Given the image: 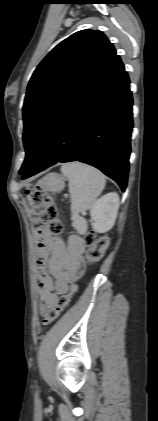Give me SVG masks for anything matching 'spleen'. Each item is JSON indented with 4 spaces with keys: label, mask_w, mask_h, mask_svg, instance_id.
Masks as SVG:
<instances>
[{
    "label": "spleen",
    "mask_w": 158,
    "mask_h": 421,
    "mask_svg": "<svg viewBox=\"0 0 158 421\" xmlns=\"http://www.w3.org/2000/svg\"><path fill=\"white\" fill-rule=\"evenodd\" d=\"M61 172L69 182L72 226L83 234L87 222L79 213L93 206L105 187V176L98 169L81 162L63 164Z\"/></svg>",
    "instance_id": "spleen-1"
}]
</instances>
